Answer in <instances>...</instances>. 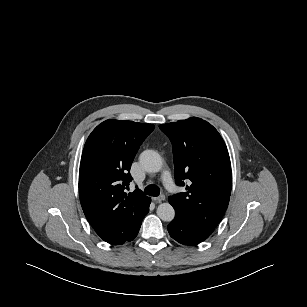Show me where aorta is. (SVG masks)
<instances>
[{
    "mask_svg": "<svg viewBox=\"0 0 307 307\" xmlns=\"http://www.w3.org/2000/svg\"><path fill=\"white\" fill-rule=\"evenodd\" d=\"M139 162L149 173L159 172L162 168V158L154 150H145L139 156ZM157 215L162 221L170 222L174 219L175 210L169 203H161L157 208Z\"/></svg>",
    "mask_w": 307,
    "mask_h": 307,
    "instance_id": "obj_1",
    "label": "aorta"
}]
</instances>
